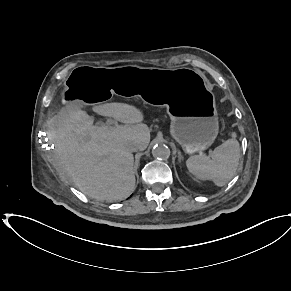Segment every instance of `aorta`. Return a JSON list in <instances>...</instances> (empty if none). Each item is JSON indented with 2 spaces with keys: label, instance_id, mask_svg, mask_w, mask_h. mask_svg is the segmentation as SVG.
Segmentation results:
<instances>
[{
  "label": "aorta",
  "instance_id": "762f6f07",
  "mask_svg": "<svg viewBox=\"0 0 291 291\" xmlns=\"http://www.w3.org/2000/svg\"><path fill=\"white\" fill-rule=\"evenodd\" d=\"M170 149L167 145L165 144H159L154 146V148L152 149V155L153 157L157 158V159H168L170 156Z\"/></svg>",
  "mask_w": 291,
  "mask_h": 291
}]
</instances>
